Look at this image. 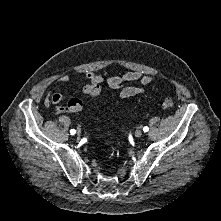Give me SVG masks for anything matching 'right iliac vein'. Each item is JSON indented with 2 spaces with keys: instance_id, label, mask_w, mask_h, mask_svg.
I'll return each mask as SVG.
<instances>
[{
  "instance_id": "1",
  "label": "right iliac vein",
  "mask_w": 221,
  "mask_h": 221,
  "mask_svg": "<svg viewBox=\"0 0 221 221\" xmlns=\"http://www.w3.org/2000/svg\"><path fill=\"white\" fill-rule=\"evenodd\" d=\"M76 133H77L78 136H81V133H82V132H81V129H80V128H77Z\"/></svg>"
}]
</instances>
